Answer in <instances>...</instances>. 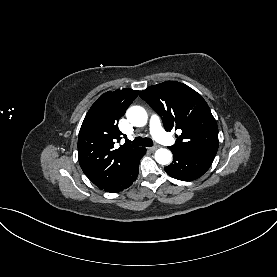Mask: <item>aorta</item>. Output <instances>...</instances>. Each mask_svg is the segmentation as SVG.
<instances>
[{
	"instance_id": "aorta-1",
	"label": "aorta",
	"mask_w": 277,
	"mask_h": 277,
	"mask_svg": "<svg viewBox=\"0 0 277 277\" xmlns=\"http://www.w3.org/2000/svg\"><path fill=\"white\" fill-rule=\"evenodd\" d=\"M128 121L136 127L146 125L148 116L144 108L141 106H132L126 112ZM155 160L161 165H168L172 160V153L170 150L160 148L155 152Z\"/></svg>"
}]
</instances>
